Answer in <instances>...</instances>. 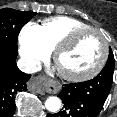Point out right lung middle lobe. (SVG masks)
I'll list each match as a JSON object with an SVG mask.
<instances>
[{
	"instance_id": "obj_1",
	"label": "right lung middle lobe",
	"mask_w": 117,
	"mask_h": 117,
	"mask_svg": "<svg viewBox=\"0 0 117 117\" xmlns=\"http://www.w3.org/2000/svg\"><path fill=\"white\" fill-rule=\"evenodd\" d=\"M36 15L11 8L0 10V51L8 57H17V39L21 28Z\"/></svg>"
}]
</instances>
